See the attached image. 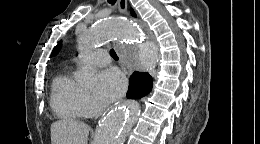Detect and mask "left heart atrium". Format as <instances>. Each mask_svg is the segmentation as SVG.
<instances>
[{"label":"left heart atrium","mask_w":260,"mask_h":144,"mask_svg":"<svg viewBox=\"0 0 260 144\" xmlns=\"http://www.w3.org/2000/svg\"><path fill=\"white\" fill-rule=\"evenodd\" d=\"M126 89L124 75L115 68L102 71L98 76L96 99L102 104H109L120 98Z\"/></svg>","instance_id":"1"}]
</instances>
